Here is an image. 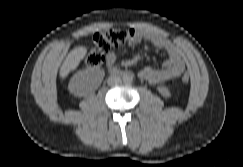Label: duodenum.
Wrapping results in <instances>:
<instances>
[{"mask_svg": "<svg viewBox=\"0 0 243 167\" xmlns=\"http://www.w3.org/2000/svg\"><path fill=\"white\" fill-rule=\"evenodd\" d=\"M110 72L113 73V74H117V73L120 72V70L117 69V68H110Z\"/></svg>", "mask_w": 243, "mask_h": 167, "instance_id": "1", "label": "duodenum"}]
</instances>
